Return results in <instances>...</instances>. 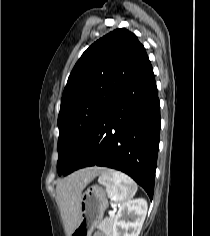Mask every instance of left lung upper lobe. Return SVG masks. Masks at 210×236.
<instances>
[{"label":"left lung upper lobe","mask_w":210,"mask_h":236,"mask_svg":"<svg viewBox=\"0 0 210 236\" xmlns=\"http://www.w3.org/2000/svg\"><path fill=\"white\" fill-rule=\"evenodd\" d=\"M150 63L135 34L116 29L93 43L75 64L58 115L61 175L95 122L118 93Z\"/></svg>","instance_id":"obj_1"}]
</instances>
